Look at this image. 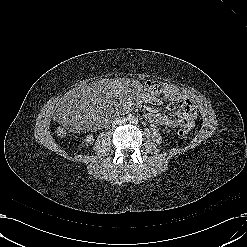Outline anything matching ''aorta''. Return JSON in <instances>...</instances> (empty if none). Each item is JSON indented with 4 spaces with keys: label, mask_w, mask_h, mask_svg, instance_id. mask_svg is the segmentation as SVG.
Here are the masks:
<instances>
[{
    "label": "aorta",
    "mask_w": 247,
    "mask_h": 247,
    "mask_svg": "<svg viewBox=\"0 0 247 247\" xmlns=\"http://www.w3.org/2000/svg\"><path fill=\"white\" fill-rule=\"evenodd\" d=\"M136 121H137L136 119H132V123H136Z\"/></svg>",
    "instance_id": "aorta-1"
}]
</instances>
